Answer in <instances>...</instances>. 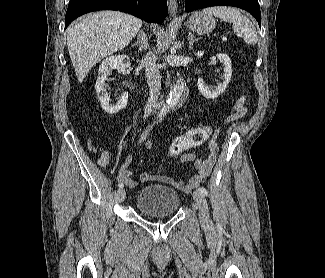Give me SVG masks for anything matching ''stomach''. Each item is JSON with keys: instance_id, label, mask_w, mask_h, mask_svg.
I'll list each match as a JSON object with an SVG mask.
<instances>
[{"instance_id": "0dacf381", "label": "stomach", "mask_w": 325, "mask_h": 278, "mask_svg": "<svg viewBox=\"0 0 325 278\" xmlns=\"http://www.w3.org/2000/svg\"><path fill=\"white\" fill-rule=\"evenodd\" d=\"M186 26L197 33L205 34L214 30L216 27L215 19L203 12H194L186 22Z\"/></svg>"}]
</instances>
